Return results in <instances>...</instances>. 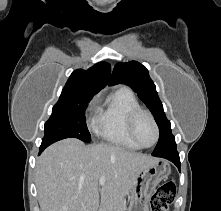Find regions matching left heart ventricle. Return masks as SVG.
<instances>
[{
	"label": "left heart ventricle",
	"instance_id": "b2bd125f",
	"mask_svg": "<svg viewBox=\"0 0 221 211\" xmlns=\"http://www.w3.org/2000/svg\"><path fill=\"white\" fill-rule=\"evenodd\" d=\"M137 137L144 145H151L155 140V129L148 116L142 115L136 126Z\"/></svg>",
	"mask_w": 221,
	"mask_h": 211
}]
</instances>
